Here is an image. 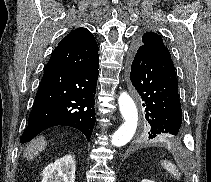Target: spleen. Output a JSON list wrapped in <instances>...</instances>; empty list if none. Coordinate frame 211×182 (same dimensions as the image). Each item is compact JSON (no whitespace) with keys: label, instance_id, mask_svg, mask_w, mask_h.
Here are the masks:
<instances>
[{"label":"spleen","instance_id":"spleen-1","mask_svg":"<svg viewBox=\"0 0 211 182\" xmlns=\"http://www.w3.org/2000/svg\"><path fill=\"white\" fill-rule=\"evenodd\" d=\"M161 165L164 167V169H166L171 175H173L174 177L176 178H180V173L178 172V169L177 167L172 164L171 162L169 161H162L161 162Z\"/></svg>","mask_w":211,"mask_h":182}]
</instances>
